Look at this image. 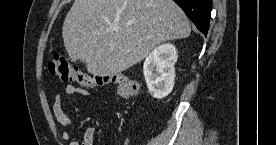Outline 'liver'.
<instances>
[{"label": "liver", "mask_w": 276, "mask_h": 145, "mask_svg": "<svg viewBox=\"0 0 276 145\" xmlns=\"http://www.w3.org/2000/svg\"><path fill=\"white\" fill-rule=\"evenodd\" d=\"M190 33L188 18L173 0H75L62 28L70 58L99 76L121 73L161 43Z\"/></svg>", "instance_id": "liver-1"}]
</instances>
